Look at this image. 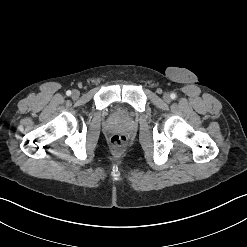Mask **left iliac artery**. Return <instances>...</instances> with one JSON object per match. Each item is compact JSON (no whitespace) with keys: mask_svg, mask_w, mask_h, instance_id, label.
Segmentation results:
<instances>
[{"mask_svg":"<svg viewBox=\"0 0 247 247\" xmlns=\"http://www.w3.org/2000/svg\"><path fill=\"white\" fill-rule=\"evenodd\" d=\"M170 97L172 98V99H176V94L175 93H172L171 95H170Z\"/></svg>","mask_w":247,"mask_h":247,"instance_id":"left-iliac-artery-1","label":"left iliac artery"}]
</instances>
